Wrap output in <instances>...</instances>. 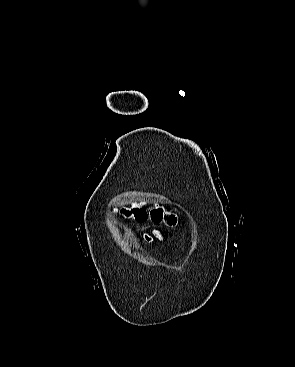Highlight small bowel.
I'll list each match as a JSON object with an SVG mask.
<instances>
[{"instance_id": "obj_1", "label": "small bowel", "mask_w": 295, "mask_h": 367, "mask_svg": "<svg viewBox=\"0 0 295 367\" xmlns=\"http://www.w3.org/2000/svg\"><path fill=\"white\" fill-rule=\"evenodd\" d=\"M157 220H159V219H157ZM146 240H147V241H151V240H152V236L147 235V236H146Z\"/></svg>"}]
</instances>
